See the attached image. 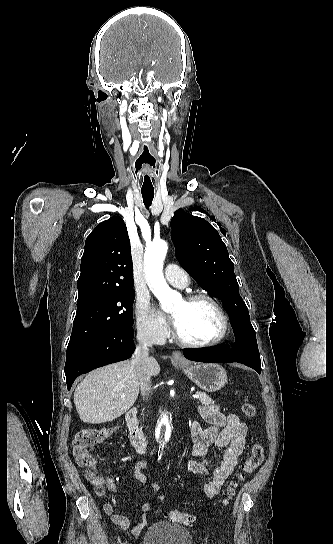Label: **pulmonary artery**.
<instances>
[{"instance_id": "obj_1", "label": "pulmonary artery", "mask_w": 333, "mask_h": 544, "mask_svg": "<svg viewBox=\"0 0 333 544\" xmlns=\"http://www.w3.org/2000/svg\"><path fill=\"white\" fill-rule=\"evenodd\" d=\"M165 277L171 285L178 288H184L189 284V277L186 271L175 264L166 266Z\"/></svg>"}]
</instances>
